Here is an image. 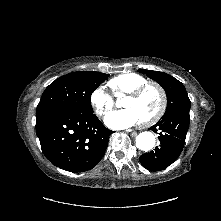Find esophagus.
<instances>
[{
	"label": "esophagus",
	"mask_w": 221,
	"mask_h": 221,
	"mask_svg": "<svg viewBox=\"0 0 221 221\" xmlns=\"http://www.w3.org/2000/svg\"><path fill=\"white\" fill-rule=\"evenodd\" d=\"M130 134H131L132 136H136V135H137L136 132H131Z\"/></svg>",
	"instance_id": "1"
}]
</instances>
